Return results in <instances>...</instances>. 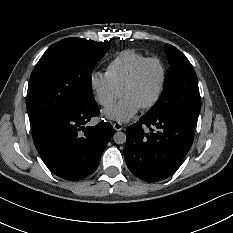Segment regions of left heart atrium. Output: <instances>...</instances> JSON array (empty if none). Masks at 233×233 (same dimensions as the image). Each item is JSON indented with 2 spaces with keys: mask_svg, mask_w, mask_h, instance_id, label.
Listing matches in <instances>:
<instances>
[{
  "mask_svg": "<svg viewBox=\"0 0 233 233\" xmlns=\"http://www.w3.org/2000/svg\"><path fill=\"white\" fill-rule=\"evenodd\" d=\"M142 108L141 104L131 97H122L116 104L101 111L104 120L119 123L128 122Z\"/></svg>",
  "mask_w": 233,
  "mask_h": 233,
  "instance_id": "left-heart-atrium-1",
  "label": "left heart atrium"
}]
</instances>
